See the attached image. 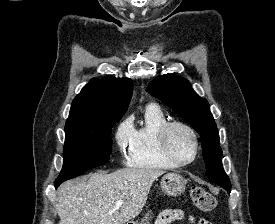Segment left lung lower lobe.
Returning <instances> with one entry per match:
<instances>
[{
  "instance_id": "0a47b994",
  "label": "left lung lower lobe",
  "mask_w": 275,
  "mask_h": 224,
  "mask_svg": "<svg viewBox=\"0 0 275 224\" xmlns=\"http://www.w3.org/2000/svg\"><path fill=\"white\" fill-rule=\"evenodd\" d=\"M223 188H224V189H226V190H227V192L230 194V191H231V185H229V186H224Z\"/></svg>"
}]
</instances>
